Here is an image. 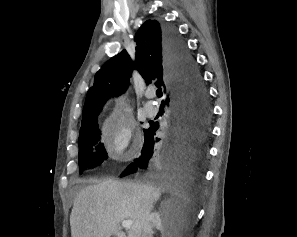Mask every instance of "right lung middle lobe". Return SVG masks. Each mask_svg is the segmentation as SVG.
Listing matches in <instances>:
<instances>
[{
  "label": "right lung middle lobe",
  "instance_id": "obj_1",
  "mask_svg": "<svg viewBox=\"0 0 297 237\" xmlns=\"http://www.w3.org/2000/svg\"><path fill=\"white\" fill-rule=\"evenodd\" d=\"M146 129L144 130V132ZM98 124L95 123L80 131L79 169L80 173L90 167L101 164L107 158V152L100 141Z\"/></svg>",
  "mask_w": 297,
  "mask_h": 237
}]
</instances>
